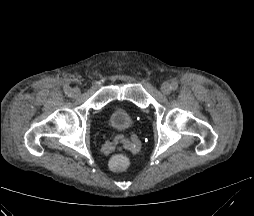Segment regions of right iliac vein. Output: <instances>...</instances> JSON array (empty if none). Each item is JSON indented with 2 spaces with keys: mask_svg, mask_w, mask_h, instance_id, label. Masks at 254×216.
Instances as JSON below:
<instances>
[{
  "mask_svg": "<svg viewBox=\"0 0 254 216\" xmlns=\"http://www.w3.org/2000/svg\"><path fill=\"white\" fill-rule=\"evenodd\" d=\"M79 94H80V90H79L78 88H73V89L71 90V96H72L73 98L78 97Z\"/></svg>",
  "mask_w": 254,
  "mask_h": 216,
  "instance_id": "63e3f726",
  "label": "right iliac vein"
}]
</instances>
